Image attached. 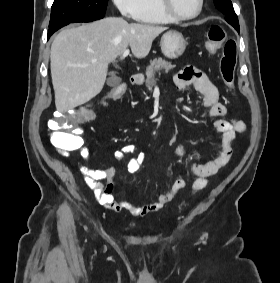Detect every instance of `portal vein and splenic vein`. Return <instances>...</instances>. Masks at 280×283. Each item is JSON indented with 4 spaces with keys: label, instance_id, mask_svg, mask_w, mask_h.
<instances>
[{
    "label": "portal vein and splenic vein",
    "instance_id": "18ae733b",
    "mask_svg": "<svg viewBox=\"0 0 280 283\" xmlns=\"http://www.w3.org/2000/svg\"><path fill=\"white\" fill-rule=\"evenodd\" d=\"M128 55H129V50L126 49V50L123 52V54H122V58H124V57H126V56H128Z\"/></svg>",
    "mask_w": 280,
    "mask_h": 283
}]
</instances>
